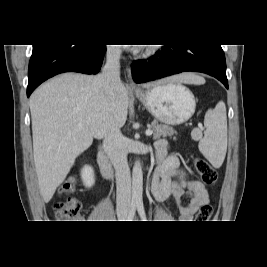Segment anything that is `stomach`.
Wrapping results in <instances>:
<instances>
[{"mask_svg": "<svg viewBox=\"0 0 267 267\" xmlns=\"http://www.w3.org/2000/svg\"><path fill=\"white\" fill-rule=\"evenodd\" d=\"M136 96L154 118L167 125L186 122L196 108L193 93L181 83L163 81L145 92H137Z\"/></svg>", "mask_w": 267, "mask_h": 267, "instance_id": "0dacf381", "label": "stomach"}]
</instances>
